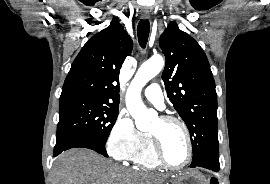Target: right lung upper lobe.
<instances>
[{
  "label": "right lung upper lobe",
  "mask_w": 270,
  "mask_h": 184,
  "mask_svg": "<svg viewBox=\"0 0 270 184\" xmlns=\"http://www.w3.org/2000/svg\"><path fill=\"white\" fill-rule=\"evenodd\" d=\"M133 42L117 18L89 39L65 79L60 99L88 98L119 106V71Z\"/></svg>",
  "instance_id": "right-lung-upper-lobe-1"
}]
</instances>
